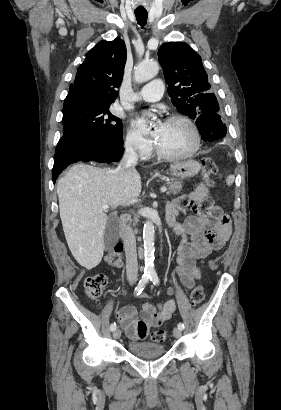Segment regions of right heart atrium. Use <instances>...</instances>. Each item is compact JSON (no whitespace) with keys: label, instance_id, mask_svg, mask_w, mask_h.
I'll use <instances>...</instances> for the list:
<instances>
[{"label":"right heart atrium","instance_id":"d8ad5b80","mask_svg":"<svg viewBox=\"0 0 281 410\" xmlns=\"http://www.w3.org/2000/svg\"><path fill=\"white\" fill-rule=\"evenodd\" d=\"M125 147L141 157L148 156L152 151L151 141L134 128H130L127 132Z\"/></svg>","mask_w":281,"mask_h":410}]
</instances>
